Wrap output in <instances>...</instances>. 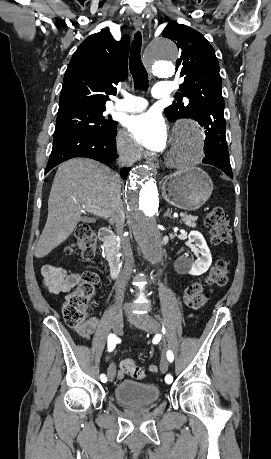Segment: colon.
I'll return each instance as SVG.
<instances>
[{"mask_svg":"<svg viewBox=\"0 0 271 459\" xmlns=\"http://www.w3.org/2000/svg\"><path fill=\"white\" fill-rule=\"evenodd\" d=\"M204 224L210 231V239L214 245L229 244L232 240L230 219L227 212L222 208H213L205 218ZM74 241L65 248V253H72L77 248L82 257L91 259L96 251V234L88 225L78 226L73 234ZM229 263L225 258H219L211 267L207 276L198 282L186 287L184 301L193 309H199L208 300L205 291L206 286H223L229 276ZM99 281L96 273L85 271L78 285L69 291L65 297L63 316L67 325L76 327L85 322L88 314L89 302L95 295V287ZM121 369L135 379H142L145 373L132 358H123L120 363Z\"/></svg>","mask_w":271,"mask_h":459,"instance_id":"obj_1","label":"colon"}]
</instances>
